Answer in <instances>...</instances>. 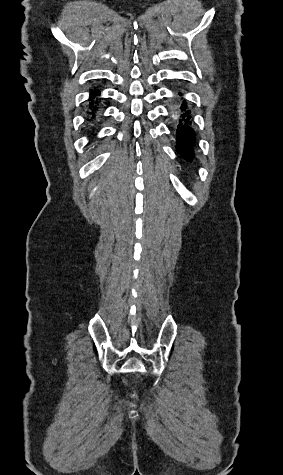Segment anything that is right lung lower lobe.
I'll list each match as a JSON object with an SVG mask.
<instances>
[{
  "instance_id": "98d812e1",
  "label": "right lung lower lobe",
  "mask_w": 283,
  "mask_h": 475,
  "mask_svg": "<svg viewBox=\"0 0 283 475\" xmlns=\"http://www.w3.org/2000/svg\"><path fill=\"white\" fill-rule=\"evenodd\" d=\"M100 95V91L97 89L91 90L90 92V97H89V103L85 107V113H86V126L89 130H92L94 132L95 125L97 121L100 119V112L102 109V104L101 100L102 98H99L98 96Z\"/></svg>"
}]
</instances>
